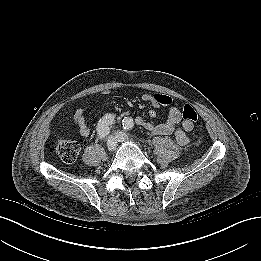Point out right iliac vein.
I'll use <instances>...</instances> for the list:
<instances>
[{"label": "right iliac vein", "mask_w": 261, "mask_h": 261, "mask_svg": "<svg viewBox=\"0 0 261 261\" xmlns=\"http://www.w3.org/2000/svg\"><path fill=\"white\" fill-rule=\"evenodd\" d=\"M107 148L110 152H113L117 148V141L113 136H109L107 139Z\"/></svg>", "instance_id": "right-iliac-vein-1"}]
</instances>
